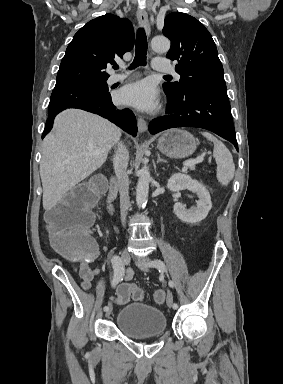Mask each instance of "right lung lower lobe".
Here are the masks:
<instances>
[{
    "mask_svg": "<svg viewBox=\"0 0 283 384\" xmlns=\"http://www.w3.org/2000/svg\"><path fill=\"white\" fill-rule=\"evenodd\" d=\"M67 108H78L98 114L107 118L129 134L133 136L137 135L136 118L133 112L129 109L116 108L112 103L111 96H109L103 99L86 100L61 108H49V117L46 121L42 138H44L52 129L55 116Z\"/></svg>",
    "mask_w": 283,
    "mask_h": 384,
    "instance_id": "1",
    "label": "right lung lower lobe"
}]
</instances>
